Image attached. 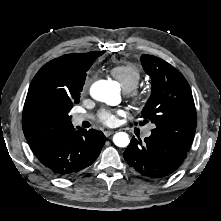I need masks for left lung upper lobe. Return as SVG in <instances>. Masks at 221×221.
Segmentation results:
<instances>
[{"label":"left lung upper lobe","instance_id":"left-lung-upper-lobe-1","mask_svg":"<svg viewBox=\"0 0 221 221\" xmlns=\"http://www.w3.org/2000/svg\"><path fill=\"white\" fill-rule=\"evenodd\" d=\"M140 60L152 79V93L141 112L143 122L151 121L155 126L153 135L188 152L197 125L188 82L177 69L158 57L143 54Z\"/></svg>","mask_w":221,"mask_h":221}]
</instances>
